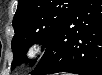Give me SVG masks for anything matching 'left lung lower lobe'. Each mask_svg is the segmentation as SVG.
<instances>
[{
	"label": "left lung lower lobe",
	"instance_id": "0a47b994",
	"mask_svg": "<svg viewBox=\"0 0 102 75\" xmlns=\"http://www.w3.org/2000/svg\"><path fill=\"white\" fill-rule=\"evenodd\" d=\"M102 75V0H82L46 44L32 75Z\"/></svg>",
	"mask_w": 102,
	"mask_h": 75
}]
</instances>
